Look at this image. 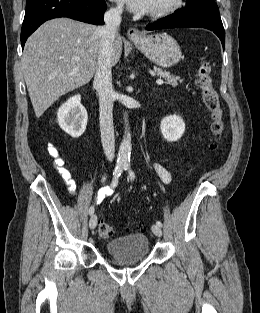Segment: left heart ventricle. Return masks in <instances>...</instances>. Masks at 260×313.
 <instances>
[{
    "label": "left heart ventricle",
    "mask_w": 260,
    "mask_h": 313,
    "mask_svg": "<svg viewBox=\"0 0 260 313\" xmlns=\"http://www.w3.org/2000/svg\"><path fill=\"white\" fill-rule=\"evenodd\" d=\"M169 1L170 0H152L150 11L163 8L168 4Z\"/></svg>",
    "instance_id": "b2bd125f"
}]
</instances>
